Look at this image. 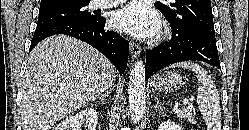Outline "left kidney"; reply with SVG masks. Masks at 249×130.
I'll list each match as a JSON object with an SVG mask.
<instances>
[{"mask_svg": "<svg viewBox=\"0 0 249 130\" xmlns=\"http://www.w3.org/2000/svg\"><path fill=\"white\" fill-rule=\"evenodd\" d=\"M158 130H183V129L181 126L175 124L173 121L166 120L160 124Z\"/></svg>", "mask_w": 249, "mask_h": 130, "instance_id": "obj_1", "label": "left kidney"}]
</instances>
